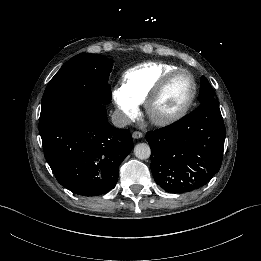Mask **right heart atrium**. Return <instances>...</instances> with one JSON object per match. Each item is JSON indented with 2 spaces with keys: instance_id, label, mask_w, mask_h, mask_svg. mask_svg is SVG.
Wrapping results in <instances>:
<instances>
[{
  "instance_id": "obj_1",
  "label": "right heart atrium",
  "mask_w": 261,
  "mask_h": 261,
  "mask_svg": "<svg viewBox=\"0 0 261 261\" xmlns=\"http://www.w3.org/2000/svg\"><path fill=\"white\" fill-rule=\"evenodd\" d=\"M112 99L123 122L129 124L138 118L139 104L122 87L113 89Z\"/></svg>"
}]
</instances>
